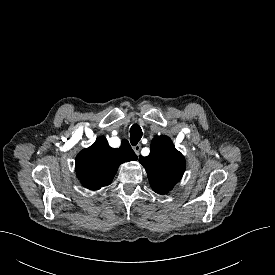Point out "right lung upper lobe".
<instances>
[{
	"mask_svg": "<svg viewBox=\"0 0 275 275\" xmlns=\"http://www.w3.org/2000/svg\"><path fill=\"white\" fill-rule=\"evenodd\" d=\"M136 159L127 140L122 141L120 148L114 149L101 136L92 146L77 155L75 170L84 187L99 190L111 184L120 164Z\"/></svg>",
	"mask_w": 275,
	"mask_h": 275,
	"instance_id": "cb5924a9",
	"label": "right lung upper lobe"
}]
</instances>
